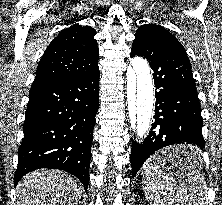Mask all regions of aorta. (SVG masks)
Instances as JSON below:
<instances>
[{
    "mask_svg": "<svg viewBox=\"0 0 222 205\" xmlns=\"http://www.w3.org/2000/svg\"><path fill=\"white\" fill-rule=\"evenodd\" d=\"M126 98L133 137L142 142L151 127L154 103L150 67L142 57H135L128 67Z\"/></svg>",
    "mask_w": 222,
    "mask_h": 205,
    "instance_id": "1",
    "label": "aorta"
}]
</instances>
